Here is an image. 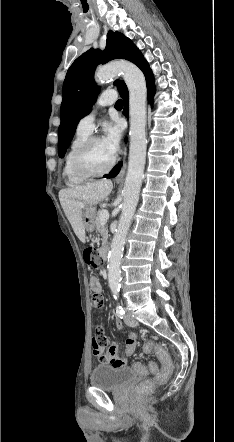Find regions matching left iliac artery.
I'll return each mask as SVG.
<instances>
[{"label":"left iliac artery","mask_w":234,"mask_h":442,"mask_svg":"<svg viewBox=\"0 0 234 442\" xmlns=\"http://www.w3.org/2000/svg\"><path fill=\"white\" fill-rule=\"evenodd\" d=\"M114 297H115V299L117 298L116 295H114ZM116 314H117V316L120 317V318H123V316H124V314H125L124 309L122 308V306H121L119 303H118L117 306H116Z\"/></svg>","instance_id":"obj_1"}]
</instances>
